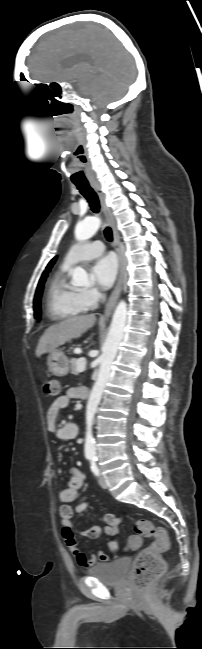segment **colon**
Segmentation results:
<instances>
[{"mask_svg": "<svg viewBox=\"0 0 202 649\" xmlns=\"http://www.w3.org/2000/svg\"><path fill=\"white\" fill-rule=\"evenodd\" d=\"M43 392L47 396H58L61 385L58 380L47 378L42 383ZM135 535L131 538L132 546L137 544L140 537H152V544L142 550L135 558L132 568V580L135 588L144 591L162 574L164 561L162 553L169 547V538L164 527L150 520H138L134 526Z\"/></svg>", "mask_w": 202, "mask_h": 649, "instance_id": "colon-1", "label": "colon"}]
</instances>
